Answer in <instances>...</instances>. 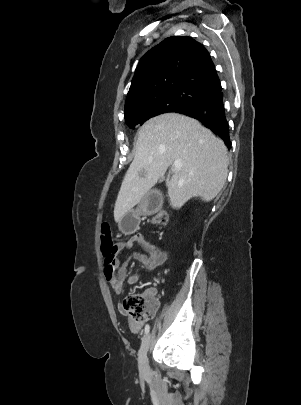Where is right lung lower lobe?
<instances>
[{"label": "right lung lower lobe", "mask_w": 301, "mask_h": 405, "mask_svg": "<svg viewBox=\"0 0 301 405\" xmlns=\"http://www.w3.org/2000/svg\"><path fill=\"white\" fill-rule=\"evenodd\" d=\"M222 89V88H221ZM221 89L213 93L203 102L178 108L174 112L199 120L205 127L219 136L230 147V132L225 116Z\"/></svg>", "instance_id": "1"}]
</instances>
